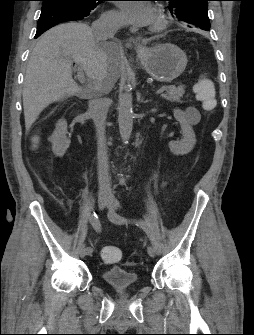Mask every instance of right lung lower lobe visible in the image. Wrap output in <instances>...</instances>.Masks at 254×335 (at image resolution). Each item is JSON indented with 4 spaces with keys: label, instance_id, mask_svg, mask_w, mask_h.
<instances>
[{
    "label": "right lung lower lobe",
    "instance_id": "1",
    "mask_svg": "<svg viewBox=\"0 0 254 335\" xmlns=\"http://www.w3.org/2000/svg\"><path fill=\"white\" fill-rule=\"evenodd\" d=\"M90 12L91 9L79 8L70 3L53 2L42 5L35 38L61 22L84 19Z\"/></svg>",
    "mask_w": 254,
    "mask_h": 335
}]
</instances>
